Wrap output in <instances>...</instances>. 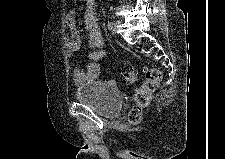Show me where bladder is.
Returning <instances> with one entry per match:
<instances>
[{"mask_svg":"<svg viewBox=\"0 0 225 159\" xmlns=\"http://www.w3.org/2000/svg\"><path fill=\"white\" fill-rule=\"evenodd\" d=\"M75 99L89 106L101 117L116 118L123 107L124 99L117 87L103 81H93L77 88Z\"/></svg>","mask_w":225,"mask_h":159,"instance_id":"obj_1","label":"bladder"}]
</instances>
